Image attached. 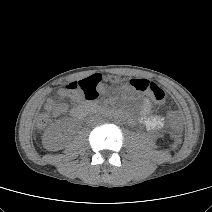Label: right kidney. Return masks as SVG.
I'll list each match as a JSON object with an SVG mask.
<instances>
[{
  "mask_svg": "<svg viewBox=\"0 0 212 212\" xmlns=\"http://www.w3.org/2000/svg\"><path fill=\"white\" fill-rule=\"evenodd\" d=\"M54 136H55L54 132L50 131V132L47 134L46 138H47V139H53V138H55Z\"/></svg>",
  "mask_w": 212,
  "mask_h": 212,
  "instance_id": "1",
  "label": "right kidney"
}]
</instances>
